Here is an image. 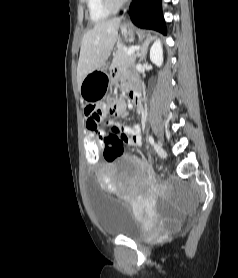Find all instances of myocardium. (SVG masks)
Returning <instances> with one entry per match:
<instances>
[{
	"label": "myocardium",
	"mask_w": 238,
	"mask_h": 278,
	"mask_svg": "<svg viewBox=\"0 0 238 278\" xmlns=\"http://www.w3.org/2000/svg\"><path fill=\"white\" fill-rule=\"evenodd\" d=\"M105 9L110 12L120 9L127 0H101Z\"/></svg>",
	"instance_id": "myocardium-1"
}]
</instances>
